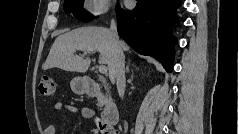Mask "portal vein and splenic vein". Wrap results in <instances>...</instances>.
Returning <instances> with one entry per match:
<instances>
[{"label":"portal vein and splenic vein","mask_w":239,"mask_h":134,"mask_svg":"<svg viewBox=\"0 0 239 134\" xmlns=\"http://www.w3.org/2000/svg\"><path fill=\"white\" fill-rule=\"evenodd\" d=\"M84 55H87V53L84 52ZM99 72H100L101 74H106V73H107V67H106L105 65H100V66H99Z\"/></svg>","instance_id":"obj_1"}]
</instances>
